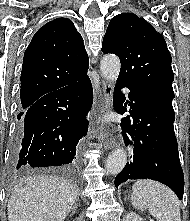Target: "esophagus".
<instances>
[{
  "label": "esophagus",
  "mask_w": 190,
  "mask_h": 221,
  "mask_svg": "<svg viewBox=\"0 0 190 221\" xmlns=\"http://www.w3.org/2000/svg\"><path fill=\"white\" fill-rule=\"evenodd\" d=\"M113 95V86L108 81H102V96L100 100V112L104 113L110 109L111 100ZM99 139L102 141L105 149L114 148L117 145L116 140L113 138L109 129L99 127Z\"/></svg>",
  "instance_id": "obj_1"
}]
</instances>
